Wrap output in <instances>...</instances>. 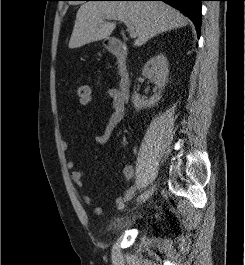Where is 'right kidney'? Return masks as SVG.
Returning <instances> with one entry per match:
<instances>
[{
  "label": "right kidney",
  "instance_id": "obj_1",
  "mask_svg": "<svg viewBox=\"0 0 245 265\" xmlns=\"http://www.w3.org/2000/svg\"><path fill=\"white\" fill-rule=\"evenodd\" d=\"M168 74V61L163 54L156 55L147 61L143 67L142 75L154 82L156 88H158V92L148 100L141 99L139 94L134 92L132 95V103L137 111L157 105L161 99L162 91L168 82Z\"/></svg>",
  "mask_w": 245,
  "mask_h": 265
}]
</instances>
